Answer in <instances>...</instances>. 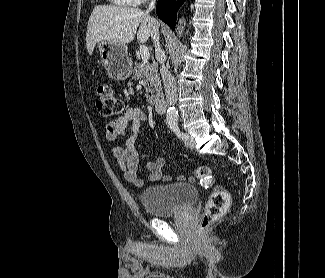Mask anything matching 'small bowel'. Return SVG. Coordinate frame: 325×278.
I'll return each mask as SVG.
<instances>
[{
	"instance_id": "1",
	"label": "small bowel",
	"mask_w": 325,
	"mask_h": 278,
	"mask_svg": "<svg viewBox=\"0 0 325 278\" xmlns=\"http://www.w3.org/2000/svg\"><path fill=\"white\" fill-rule=\"evenodd\" d=\"M132 94V90L129 91ZM147 115L140 108H128L119 118L110 121L105 128V137L110 142H116L120 136H125L124 144H114L111 148L117 166L123 171L125 179L136 186H142L139 177L140 167L146 168L150 174L149 181H167L169 177L163 173L165 160L156 158L152 161H142L136 144L137 134Z\"/></svg>"
}]
</instances>
